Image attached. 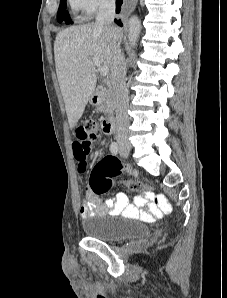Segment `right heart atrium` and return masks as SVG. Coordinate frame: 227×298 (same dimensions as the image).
Here are the masks:
<instances>
[{
	"mask_svg": "<svg viewBox=\"0 0 227 298\" xmlns=\"http://www.w3.org/2000/svg\"><path fill=\"white\" fill-rule=\"evenodd\" d=\"M71 7L86 16L107 10L114 5V0H69Z\"/></svg>",
	"mask_w": 227,
	"mask_h": 298,
	"instance_id": "d8ad5b80",
	"label": "right heart atrium"
}]
</instances>
